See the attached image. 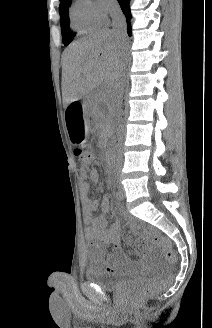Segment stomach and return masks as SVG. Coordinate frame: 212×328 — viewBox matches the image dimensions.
Instances as JSON below:
<instances>
[{
    "instance_id": "obj_1",
    "label": "stomach",
    "mask_w": 212,
    "mask_h": 328,
    "mask_svg": "<svg viewBox=\"0 0 212 328\" xmlns=\"http://www.w3.org/2000/svg\"><path fill=\"white\" fill-rule=\"evenodd\" d=\"M82 102H69L64 109L66 134L73 146H82L86 135L85 109Z\"/></svg>"
}]
</instances>
